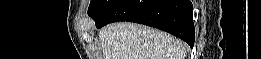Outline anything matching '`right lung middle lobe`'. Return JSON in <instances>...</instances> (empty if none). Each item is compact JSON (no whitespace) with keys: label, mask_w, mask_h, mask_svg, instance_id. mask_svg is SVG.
Returning a JSON list of instances; mask_svg holds the SVG:
<instances>
[{"label":"right lung middle lobe","mask_w":261,"mask_h":59,"mask_svg":"<svg viewBox=\"0 0 261 59\" xmlns=\"http://www.w3.org/2000/svg\"><path fill=\"white\" fill-rule=\"evenodd\" d=\"M116 0H91L88 15L90 17H96L106 9H108Z\"/></svg>","instance_id":"obj_1"}]
</instances>
